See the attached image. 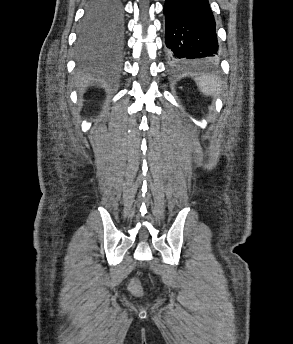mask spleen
<instances>
[{
    "label": "spleen",
    "instance_id": "obj_1",
    "mask_svg": "<svg viewBox=\"0 0 293 344\" xmlns=\"http://www.w3.org/2000/svg\"><path fill=\"white\" fill-rule=\"evenodd\" d=\"M196 82L200 91L207 96L215 95L218 90L219 85L214 76L202 75L196 79Z\"/></svg>",
    "mask_w": 293,
    "mask_h": 344
}]
</instances>
